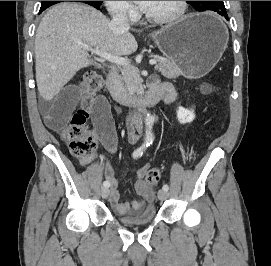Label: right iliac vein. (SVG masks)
Returning <instances> with one entry per match:
<instances>
[{
  "label": "right iliac vein",
  "mask_w": 271,
  "mask_h": 266,
  "mask_svg": "<svg viewBox=\"0 0 271 266\" xmlns=\"http://www.w3.org/2000/svg\"><path fill=\"white\" fill-rule=\"evenodd\" d=\"M108 195H109V188L102 187L101 188V196H102V198H107Z\"/></svg>",
  "instance_id": "1"
}]
</instances>
